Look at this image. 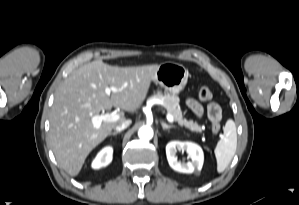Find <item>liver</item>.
<instances>
[{"mask_svg":"<svg viewBox=\"0 0 299 205\" xmlns=\"http://www.w3.org/2000/svg\"><path fill=\"white\" fill-rule=\"evenodd\" d=\"M159 65L117 67L101 60L85 64L71 73L55 95L50 116L49 140L59 165L77 176L89 153L117 125L126 120L103 122L99 129L91 117L113 106L128 112L144 102ZM107 87L116 92L106 94Z\"/></svg>","mask_w":299,"mask_h":205,"instance_id":"6515ba94","label":"liver"}]
</instances>
